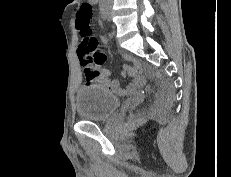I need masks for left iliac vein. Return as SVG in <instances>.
I'll list each match as a JSON object with an SVG mask.
<instances>
[{"label": "left iliac vein", "instance_id": "obj_1", "mask_svg": "<svg viewBox=\"0 0 231 177\" xmlns=\"http://www.w3.org/2000/svg\"><path fill=\"white\" fill-rule=\"evenodd\" d=\"M107 18H108V20H110V19H111L110 8H109V9H108V11H107Z\"/></svg>", "mask_w": 231, "mask_h": 177}]
</instances>
